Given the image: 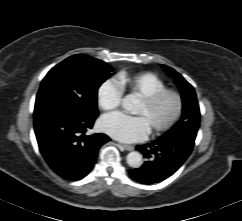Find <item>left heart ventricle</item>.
Wrapping results in <instances>:
<instances>
[{
  "mask_svg": "<svg viewBox=\"0 0 242 221\" xmlns=\"http://www.w3.org/2000/svg\"><path fill=\"white\" fill-rule=\"evenodd\" d=\"M174 109L173 99L165 97L152 108H147L142 101L136 110V114L142 116L149 127L165 122L172 114Z\"/></svg>",
  "mask_w": 242,
  "mask_h": 221,
  "instance_id": "left-heart-ventricle-1",
  "label": "left heart ventricle"
}]
</instances>
